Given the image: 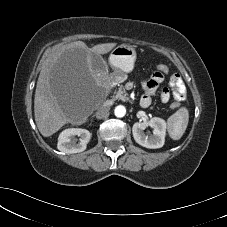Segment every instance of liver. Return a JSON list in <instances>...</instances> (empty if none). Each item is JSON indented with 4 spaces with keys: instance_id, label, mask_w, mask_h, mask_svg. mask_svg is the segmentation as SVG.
Wrapping results in <instances>:
<instances>
[{
    "instance_id": "6515ba94",
    "label": "liver",
    "mask_w": 227,
    "mask_h": 227,
    "mask_svg": "<svg viewBox=\"0 0 227 227\" xmlns=\"http://www.w3.org/2000/svg\"><path fill=\"white\" fill-rule=\"evenodd\" d=\"M115 46L116 43H103L89 48L84 42L75 41L57 48L45 60L34 98L35 122L44 137L72 121V98H80L84 87L98 82L92 55L107 54Z\"/></svg>"
}]
</instances>
